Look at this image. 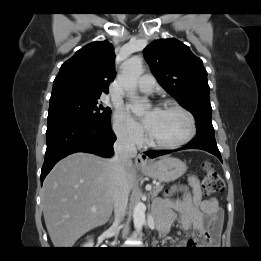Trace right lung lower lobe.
Masks as SVG:
<instances>
[{"mask_svg":"<svg viewBox=\"0 0 261 261\" xmlns=\"http://www.w3.org/2000/svg\"><path fill=\"white\" fill-rule=\"evenodd\" d=\"M47 149L41 171V183L53 166L74 152H89L102 157L113 155L116 140L110 124L84 120H66L48 124Z\"/></svg>","mask_w":261,"mask_h":261,"instance_id":"1","label":"right lung lower lobe"}]
</instances>
